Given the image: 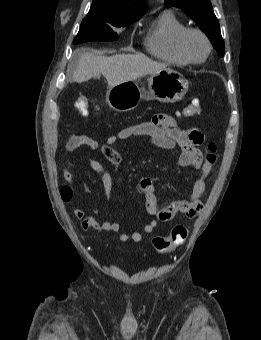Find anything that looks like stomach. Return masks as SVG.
<instances>
[{
	"label": "stomach",
	"instance_id": "stomach-1",
	"mask_svg": "<svg viewBox=\"0 0 261 340\" xmlns=\"http://www.w3.org/2000/svg\"><path fill=\"white\" fill-rule=\"evenodd\" d=\"M187 90L188 81L177 71L166 68L150 75L147 88L134 80L108 87L106 101L113 110L127 112L135 109L141 99L177 102Z\"/></svg>",
	"mask_w": 261,
	"mask_h": 340
}]
</instances>
